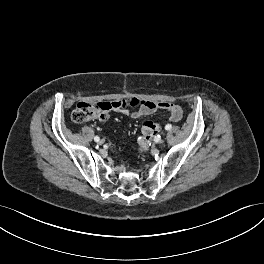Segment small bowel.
I'll use <instances>...</instances> for the list:
<instances>
[{"mask_svg":"<svg viewBox=\"0 0 264 264\" xmlns=\"http://www.w3.org/2000/svg\"><path fill=\"white\" fill-rule=\"evenodd\" d=\"M131 104L117 109L125 116L132 118H140L143 116L152 115L158 110H167L170 113V120L177 122L182 117V109L180 106L170 102H158V101H144L138 99H130ZM129 107L135 108L133 112L129 110Z\"/></svg>","mask_w":264,"mask_h":264,"instance_id":"1","label":"small bowel"}]
</instances>
